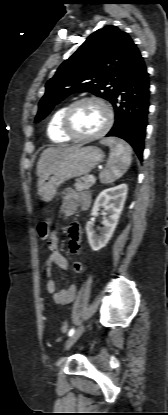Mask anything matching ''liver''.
I'll return each instance as SVG.
<instances>
[{
	"label": "liver",
	"mask_w": 168,
	"mask_h": 415,
	"mask_svg": "<svg viewBox=\"0 0 168 415\" xmlns=\"http://www.w3.org/2000/svg\"><path fill=\"white\" fill-rule=\"evenodd\" d=\"M77 146L72 147H53V148H47L45 149L37 163V175L40 177L47 169L48 167L57 159L60 157L66 155L73 149H75Z\"/></svg>",
	"instance_id": "1"
}]
</instances>
